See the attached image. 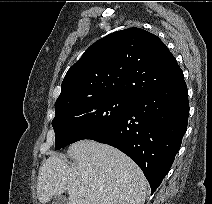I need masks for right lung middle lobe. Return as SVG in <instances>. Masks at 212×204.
I'll list each match as a JSON object with an SVG mask.
<instances>
[{"label":"right lung middle lobe","mask_w":212,"mask_h":204,"mask_svg":"<svg viewBox=\"0 0 212 204\" xmlns=\"http://www.w3.org/2000/svg\"><path fill=\"white\" fill-rule=\"evenodd\" d=\"M130 101L124 96H103L55 109V149L87 139L117 123Z\"/></svg>","instance_id":"obj_1"}]
</instances>
